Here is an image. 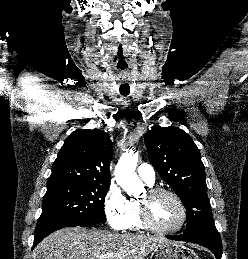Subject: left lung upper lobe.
I'll list each match as a JSON object with an SVG mask.
<instances>
[{"label":"left lung upper lobe","mask_w":248,"mask_h":259,"mask_svg":"<svg viewBox=\"0 0 248 259\" xmlns=\"http://www.w3.org/2000/svg\"><path fill=\"white\" fill-rule=\"evenodd\" d=\"M144 141L151 164L187 209L184 233L215 227L204 165L192 138L177 127L156 126L146 133Z\"/></svg>","instance_id":"5c2ea615"}]
</instances>
